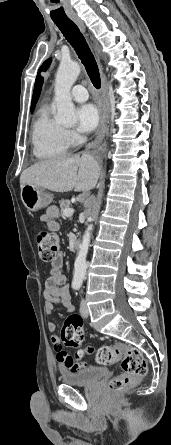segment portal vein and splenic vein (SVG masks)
<instances>
[{"label": "portal vein and splenic vein", "mask_w": 171, "mask_h": 445, "mask_svg": "<svg viewBox=\"0 0 171 445\" xmlns=\"http://www.w3.org/2000/svg\"><path fill=\"white\" fill-rule=\"evenodd\" d=\"M74 213V210L72 208H67L63 211V215L66 217H71Z\"/></svg>", "instance_id": "18ae733b"}]
</instances>
